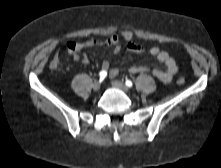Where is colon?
<instances>
[{
  "mask_svg": "<svg viewBox=\"0 0 221 168\" xmlns=\"http://www.w3.org/2000/svg\"><path fill=\"white\" fill-rule=\"evenodd\" d=\"M118 36L120 39L124 40L127 43L133 42L136 38L135 32L129 31V30H120L118 33ZM59 64H60V59L58 56H55L50 63V67L55 69L59 66ZM184 82H185V80L183 78H179L177 80V83L180 85L184 84Z\"/></svg>",
  "mask_w": 221,
  "mask_h": 168,
  "instance_id": "1",
  "label": "colon"
}]
</instances>
